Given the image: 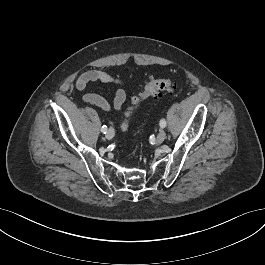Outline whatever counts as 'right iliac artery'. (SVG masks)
<instances>
[{"instance_id":"obj_1","label":"right iliac artery","mask_w":265,"mask_h":265,"mask_svg":"<svg viewBox=\"0 0 265 265\" xmlns=\"http://www.w3.org/2000/svg\"><path fill=\"white\" fill-rule=\"evenodd\" d=\"M101 131L106 134L107 132V126L106 125H103L102 128H101Z\"/></svg>"}]
</instances>
